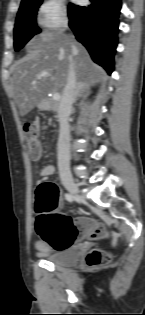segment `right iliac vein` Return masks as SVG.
Segmentation results:
<instances>
[{
  "mask_svg": "<svg viewBox=\"0 0 145 315\" xmlns=\"http://www.w3.org/2000/svg\"><path fill=\"white\" fill-rule=\"evenodd\" d=\"M62 183L74 197L80 198L79 188L72 179H64Z\"/></svg>",
  "mask_w": 145,
  "mask_h": 315,
  "instance_id": "1",
  "label": "right iliac vein"
}]
</instances>
